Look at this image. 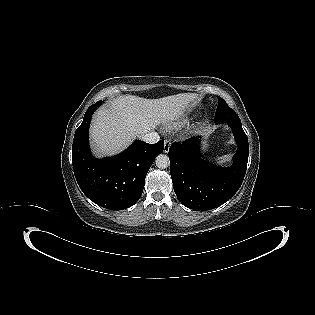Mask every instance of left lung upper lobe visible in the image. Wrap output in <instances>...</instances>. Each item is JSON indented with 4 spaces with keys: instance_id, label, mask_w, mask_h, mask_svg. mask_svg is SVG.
Returning <instances> with one entry per match:
<instances>
[{
    "instance_id": "obj_1",
    "label": "left lung upper lobe",
    "mask_w": 315,
    "mask_h": 315,
    "mask_svg": "<svg viewBox=\"0 0 315 315\" xmlns=\"http://www.w3.org/2000/svg\"><path fill=\"white\" fill-rule=\"evenodd\" d=\"M218 99L219 102L214 119L215 124L241 122L236 112L221 97H218Z\"/></svg>"
}]
</instances>
